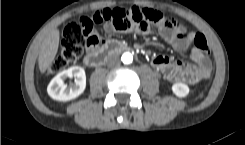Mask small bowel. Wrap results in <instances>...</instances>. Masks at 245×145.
I'll return each instance as SVG.
<instances>
[{
    "mask_svg": "<svg viewBox=\"0 0 245 145\" xmlns=\"http://www.w3.org/2000/svg\"><path fill=\"white\" fill-rule=\"evenodd\" d=\"M106 32H112L113 26L109 23L104 25ZM138 34L146 35L149 31H138ZM161 37L168 43L174 50L182 52L186 50L192 42L195 32H187L182 24L175 26H163L159 30ZM104 41H101L103 44ZM191 59L195 63L187 64L181 61H171L166 56H157L153 59V66L163 75L164 79L170 82H178L186 80L189 83H198L205 78L204 69L207 64V59L195 48L191 51Z\"/></svg>",
    "mask_w": 245,
    "mask_h": 145,
    "instance_id": "1",
    "label": "small bowel"
}]
</instances>
